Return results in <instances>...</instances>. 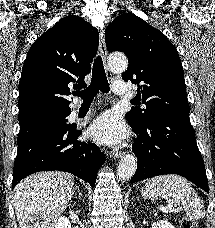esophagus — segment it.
I'll return each instance as SVG.
<instances>
[{
  "label": "esophagus",
  "mask_w": 215,
  "mask_h": 228,
  "mask_svg": "<svg viewBox=\"0 0 215 228\" xmlns=\"http://www.w3.org/2000/svg\"><path fill=\"white\" fill-rule=\"evenodd\" d=\"M99 49H100V54H101L102 60L104 62L106 74H107L108 78H112V73L107 65V48H106L105 34H104L103 29H100V32H99ZM123 155H124V153L121 151H117L113 154V156L115 158H121Z\"/></svg>",
  "instance_id": "34e87169"
}]
</instances>
